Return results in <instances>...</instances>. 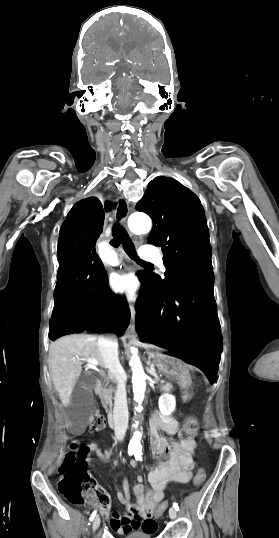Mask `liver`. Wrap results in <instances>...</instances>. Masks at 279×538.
Wrapping results in <instances>:
<instances>
[{
	"mask_svg": "<svg viewBox=\"0 0 279 538\" xmlns=\"http://www.w3.org/2000/svg\"><path fill=\"white\" fill-rule=\"evenodd\" d=\"M97 340L98 336L72 334L51 342L49 372L63 406H69L73 388L82 372L83 360L80 358H94L104 368Z\"/></svg>",
	"mask_w": 279,
	"mask_h": 538,
	"instance_id": "obj_1",
	"label": "liver"
}]
</instances>
